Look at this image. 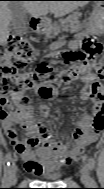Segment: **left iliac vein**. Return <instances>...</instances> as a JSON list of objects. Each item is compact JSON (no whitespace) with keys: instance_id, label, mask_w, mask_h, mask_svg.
Masks as SVG:
<instances>
[{"instance_id":"1","label":"left iliac vein","mask_w":104,"mask_h":189,"mask_svg":"<svg viewBox=\"0 0 104 189\" xmlns=\"http://www.w3.org/2000/svg\"><path fill=\"white\" fill-rule=\"evenodd\" d=\"M81 181L85 186H91L92 179L90 177L89 166L85 164L81 169Z\"/></svg>"}]
</instances>
